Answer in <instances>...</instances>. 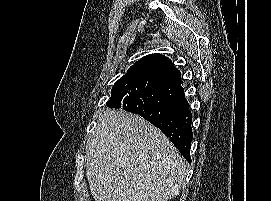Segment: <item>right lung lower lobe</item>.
<instances>
[{"label": "right lung lower lobe", "mask_w": 271, "mask_h": 201, "mask_svg": "<svg viewBox=\"0 0 271 201\" xmlns=\"http://www.w3.org/2000/svg\"><path fill=\"white\" fill-rule=\"evenodd\" d=\"M150 73L145 89L126 97L120 108L158 127L191 163L192 115L181 85V74L167 57L155 64Z\"/></svg>", "instance_id": "right-lung-lower-lobe-1"}]
</instances>
